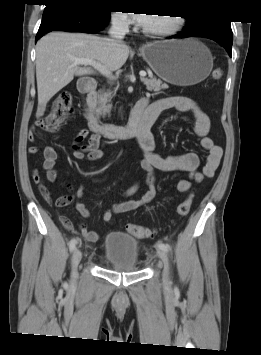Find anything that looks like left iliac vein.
I'll return each mask as SVG.
<instances>
[{
  "label": "left iliac vein",
  "instance_id": "1",
  "mask_svg": "<svg viewBox=\"0 0 261 355\" xmlns=\"http://www.w3.org/2000/svg\"><path fill=\"white\" fill-rule=\"evenodd\" d=\"M158 256L161 259L162 266H163V282L168 283L169 281V260L167 254L160 250L158 252Z\"/></svg>",
  "mask_w": 261,
  "mask_h": 355
}]
</instances>
